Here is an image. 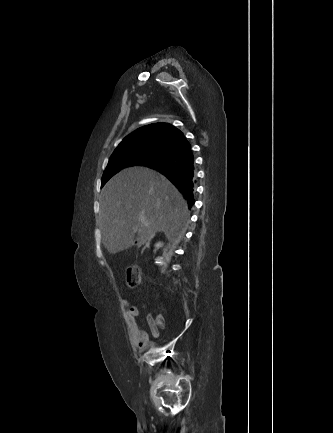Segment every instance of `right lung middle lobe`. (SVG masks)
<instances>
[{"mask_svg":"<svg viewBox=\"0 0 333 433\" xmlns=\"http://www.w3.org/2000/svg\"><path fill=\"white\" fill-rule=\"evenodd\" d=\"M170 153V150L164 149L163 147L145 144L116 148L103 173L101 186H103L114 174L125 167L147 165L165 158Z\"/></svg>","mask_w":333,"mask_h":433,"instance_id":"dd1d6c3e","label":"right lung middle lobe"}]
</instances>
